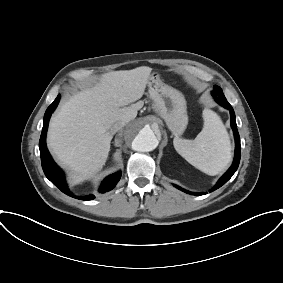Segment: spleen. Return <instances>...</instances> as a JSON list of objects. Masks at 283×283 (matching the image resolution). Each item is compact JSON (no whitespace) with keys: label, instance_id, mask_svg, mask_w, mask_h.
<instances>
[{"label":"spleen","instance_id":"obj_1","mask_svg":"<svg viewBox=\"0 0 283 283\" xmlns=\"http://www.w3.org/2000/svg\"><path fill=\"white\" fill-rule=\"evenodd\" d=\"M203 128L194 140L174 138L176 151L200 171L214 176L222 172L231 161V144L220 117L204 109Z\"/></svg>","mask_w":283,"mask_h":283}]
</instances>
